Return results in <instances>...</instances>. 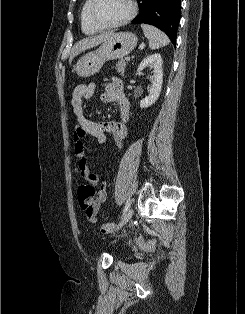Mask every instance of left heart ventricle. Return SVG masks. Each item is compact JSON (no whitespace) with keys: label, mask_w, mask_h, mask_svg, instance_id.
Returning <instances> with one entry per match:
<instances>
[{"label":"left heart ventricle","mask_w":245,"mask_h":314,"mask_svg":"<svg viewBox=\"0 0 245 314\" xmlns=\"http://www.w3.org/2000/svg\"><path fill=\"white\" fill-rule=\"evenodd\" d=\"M130 11L129 0H98L96 14L103 23H114Z\"/></svg>","instance_id":"left-heart-ventricle-1"}]
</instances>
